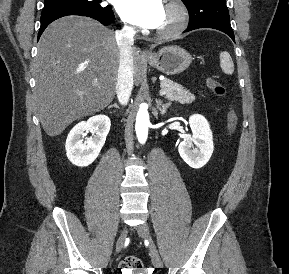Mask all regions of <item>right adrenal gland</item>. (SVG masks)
I'll use <instances>...</instances> for the list:
<instances>
[{"label": "right adrenal gland", "mask_w": 289, "mask_h": 274, "mask_svg": "<svg viewBox=\"0 0 289 274\" xmlns=\"http://www.w3.org/2000/svg\"><path fill=\"white\" fill-rule=\"evenodd\" d=\"M116 108V109H120V107L118 106V104H113V105H110V106H108V109H110V108Z\"/></svg>", "instance_id": "obj_1"}]
</instances>
